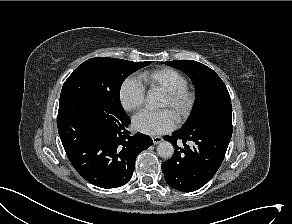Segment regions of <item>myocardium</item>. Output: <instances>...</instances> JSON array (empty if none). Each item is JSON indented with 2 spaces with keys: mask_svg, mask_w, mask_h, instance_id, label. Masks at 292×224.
Masks as SVG:
<instances>
[{
  "mask_svg": "<svg viewBox=\"0 0 292 224\" xmlns=\"http://www.w3.org/2000/svg\"><path fill=\"white\" fill-rule=\"evenodd\" d=\"M164 94L169 101V107L175 112L177 121L180 123L186 121L192 114L197 102L195 92L187 88H182L167 91Z\"/></svg>",
  "mask_w": 292,
  "mask_h": 224,
  "instance_id": "myocardium-1",
  "label": "myocardium"
}]
</instances>
